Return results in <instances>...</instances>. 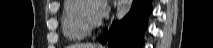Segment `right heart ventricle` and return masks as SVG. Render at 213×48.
Masks as SVG:
<instances>
[{
	"mask_svg": "<svg viewBox=\"0 0 213 48\" xmlns=\"http://www.w3.org/2000/svg\"><path fill=\"white\" fill-rule=\"evenodd\" d=\"M79 0H66L61 15V28L64 36L70 41H80L89 35V31L79 21L77 9Z\"/></svg>",
	"mask_w": 213,
	"mask_h": 48,
	"instance_id": "right-heart-ventricle-1",
	"label": "right heart ventricle"
}]
</instances>
